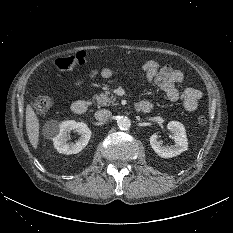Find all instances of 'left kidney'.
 <instances>
[{
    "label": "left kidney",
    "instance_id": "obj_1",
    "mask_svg": "<svg viewBox=\"0 0 233 233\" xmlns=\"http://www.w3.org/2000/svg\"><path fill=\"white\" fill-rule=\"evenodd\" d=\"M168 130L173 133L172 139L175 144L171 146H162L158 140V135L155 133L150 137V145L162 158H172L180 155L182 152L188 149V142L186 136V130L182 123L178 121H170L167 125Z\"/></svg>",
    "mask_w": 233,
    "mask_h": 233
}]
</instances>
